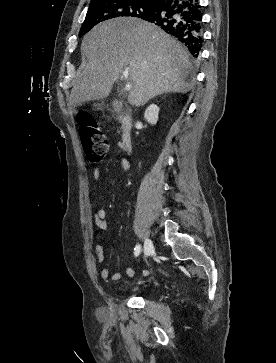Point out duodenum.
Wrapping results in <instances>:
<instances>
[{"label": "duodenum", "mask_w": 276, "mask_h": 363, "mask_svg": "<svg viewBox=\"0 0 276 363\" xmlns=\"http://www.w3.org/2000/svg\"><path fill=\"white\" fill-rule=\"evenodd\" d=\"M132 130H133L132 112L124 111L120 114V133H121L122 146L127 153L132 152Z\"/></svg>", "instance_id": "410a0bca"}]
</instances>
